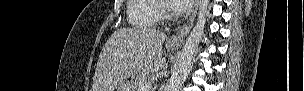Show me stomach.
<instances>
[{"label": "stomach", "instance_id": "1", "mask_svg": "<svg viewBox=\"0 0 304 91\" xmlns=\"http://www.w3.org/2000/svg\"><path fill=\"white\" fill-rule=\"evenodd\" d=\"M169 48L172 50L176 49L174 46H169ZM118 91H134V88L130 83H124L118 88Z\"/></svg>", "mask_w": 304, "mask_h": 91}]
</instances>
